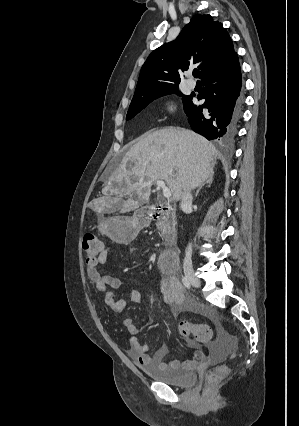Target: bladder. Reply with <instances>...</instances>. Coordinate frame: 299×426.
<instances>
[{
  "label": "bladder",
  "instance_id": "1",
  "mask_svg": "<svg viewBox=\"0 0 299 426\" xmlns=\"http://www.w3.org/2000/svg\"><path fill=\"white\" fill-rule=\"evenodd\" d=\"M141 370L147 376L156 381H160L176 387H189L197 380V373L194 370H184L181 368L159 369L151 365H140Z\"/></svg>",
  "mask_w": 299,
  "mask_h": 426
}]
</instances>
